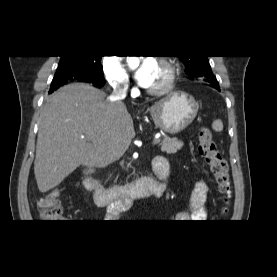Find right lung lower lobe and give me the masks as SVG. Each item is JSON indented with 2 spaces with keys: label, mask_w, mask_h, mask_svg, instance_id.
Segmentation results:
<instances>
[{
  "label": "right lung lower lobe",
  "mask_w": 277,
  "mask_h": 277,
  "mask_svg": "<svg viewBox=\"0 0 277 277\" xmlns=\"http://www.w3.org/2000/svg\"><path fill=\"white\" fill-rule=\"evenodd\" d=\"M77 79H81V80H84V81H86V82L93 83L94 85H97V86H99V87H102V86H103L102 83H99V82H96V81H90L89 79L84 78V77H78ZM53 91H54V90H53ZM53 91H52V92H53ZM52 92H49V93H52Z\"/></svg>",
  "instance_id": "obj_1"
}]
</instances>
